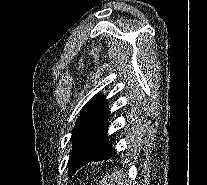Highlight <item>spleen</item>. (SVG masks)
<instances>
[{"label": "spleen", "instance_id": "spleen-1", "mask_svg": "<svg viewBox=\"0 0 207 185\" xmlns=\"http://www.w3.org/2000/svg\"><path fill=\"white\" fill-rule=\"evenodd\" d=\"M124 177H130V172H122V170H111V174H106V185H117L124 183Z\"/></svg>", "mask_w": 207, "mask_h": 185}]
</instances>
